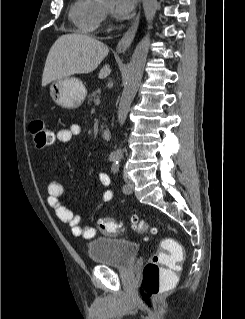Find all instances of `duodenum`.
I'll return each mask as SVG.
<instances>
[{"label":"duodenum","mask_w":245,"mask_h":319,"mask_svg":"<svg viewBox=\"0 0 245 319\" xmlns=\"http://www.w3.org/2000/svg\"><path fill=\"white\" fill-rule=\"evenodd\" d=\"M111 136H112V133H111V130L108 129V128H105L103 129L102 131V138L105 140V141H109L111 139Z\"/></svg>","instance_id":"410a0bca"}]
</instances>
